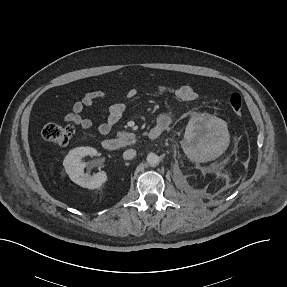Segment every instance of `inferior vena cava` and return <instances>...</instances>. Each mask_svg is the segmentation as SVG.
I'll return each mask as SVG.
<instances>
[{"instance_id": "1", "label": "inferior vena cava", "mask_w": 287, "mask_h": 287, "mask_svg": "<svg viewBox=\"0 0 287 287\" xmlns=\"http://www.w3.org/2000/svg\"><path fill=\"white\" fill-rule=\"evenodd\" d=\"M136 156V151L134 149H128L123 153V158L125 160H131Z\"/></svg>"}]
</instances>
